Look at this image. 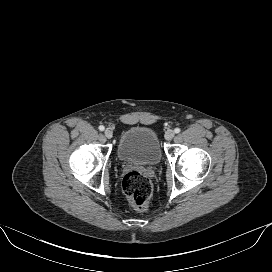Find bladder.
<instances>
[{"mask_svg":"<svg viewBox=\"0 0 272 272\" xmlns=\"http://www.w3.org/2000/svg\"><path fill=\"white\" fill-rule=\"evenodd\" d=\"M117 156L124 163L155 166L162 158V148L156 132L148 127H134L120 137Z\"/></svg>","mask_w":272,"mask_h":272,"instance_id":"31cf9c89","label":"bladder"}]
</instances>
